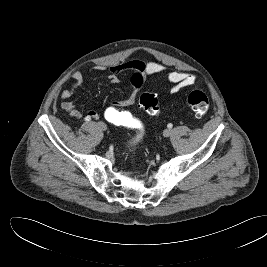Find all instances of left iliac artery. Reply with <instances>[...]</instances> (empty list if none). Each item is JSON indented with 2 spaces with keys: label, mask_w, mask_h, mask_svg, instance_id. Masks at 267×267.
Wrapping results in <instances>:
<instances>
[{
  "label": "left iliac artery",
  "mask_w": 267,
  "mask_h": 267,
  "mask_svg": "<svg viewBox=\"0 0 267 267\" xmlns=\"http://www.w3.org/2000/svg\"><path fill=\"white\" fill-rule=\"evenodd\" d=\"M172 126H173V125H172L171 123H169V124L167 125L168 128H172Z\"/></svg>",
  "instance_id": "44dca946"
}]
</instances>
